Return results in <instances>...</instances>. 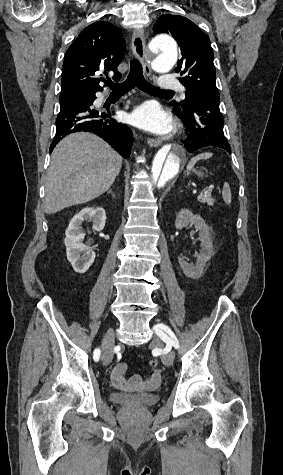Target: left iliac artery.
Wrapping results in <instances>:
<instances>
[{"instance_id":"1","label":"left iliac artery","mask_w":283,"mask_h":475,"mask_svg":"<svg viewBox=\"0 0 283 475\" xmlns=\"http://www.w3.org/2000/svg\"><path fill=\"white\" fill-rule=\"evenodd\" d=\"M157 326L160 327V328H161L162 330H164L165 332H167V333L171 336V338H172L171 343L173 344V346H174L176 349L179 348V342H178V340H177L175 334L173 333V331H172L168 326H166V325H164V324H158ZM156 334H158V333L156 332ZM163 340L168 341V340L165 339V338H163Z\"/></svg>"}]
</instances>
